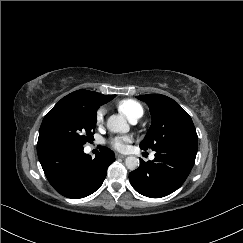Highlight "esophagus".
<instances>
[{
    "label": "esophagus",
    "mask_w": 243,
    "mask_h": 243,
    "mask_svg": "<svg viewBox=\"0 0 243 243\" xmlns=\"http://www.w3.org/2000/svg\"><path fill=\"white\" fill-rule=\"evenodd\" d=\"M116 158H125L126 156L125 155H122V154H119V153H116Z\"/></svg>",
    "instance_id": "esophagus-1"
}]
</instances>
